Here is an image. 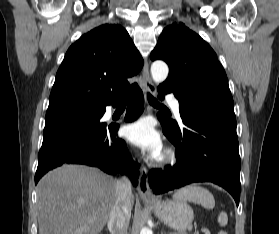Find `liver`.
Returning <instances> with one entry per match:
<instances>
[{
	"label": "liver",
	"instance_id": "1",
	"mask_svg": "<svg viewBox=\"0 0 279 234\" xmlns=\"http://www.w3.org/2000/svg\"><path fill=\"white\" fill-rule=\"evenodd\" d=\"M116 199V180L83 165H63L37 186L39 234H99ZM134 203L132 195L131 207Z\"/></svg>",
	"mask_w": 279,
	"mask_h": 234
}]
</instances>
